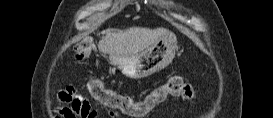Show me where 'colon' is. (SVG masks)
I'll use <instances>...</instances> for the list:
<instances>
[{"label":"colon","instance_id":"colon-1","mask_svg":"<svg viewBox=\"0 0 273 118\" xmlns=\"http://www.w3.org/2000/svg\"><path fill=\"white\" fill-rule=\"evenodd\" d=\"M91 50L92 43L83 40L75 45L74 56L77 60H83L90 55ZM88 88L95 100L131 117L144 116L169 95L188 97L190 100L195 99L193 88L178 76L170 77L157 85L140 101H135L129 96L117 94L115 91L106 88L98 76L90 77Z\"/></svg>","mask_w":273,"mask_h":118}]
</instances>
